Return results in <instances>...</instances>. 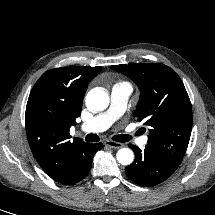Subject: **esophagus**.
Listing matches in <instances>:
<instances>
[{
    "label": "esophagus",
    "instance_id": "34e87169",
    "mask_svg": "<svg viewBox=\"0 0 215 215\" xmlns=\"http://www.w3.org/2000/svg\"><path fill=\"white\" fill-rule=\"evenodd\" d=\"M104 144L106 146L113 148V149H119V148H122L124 146V144L119 143V142H115V141H105Z\"/></svg>",
    "mask_w": 215,
    "mask_h": 215
}]
</instances>
